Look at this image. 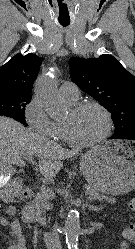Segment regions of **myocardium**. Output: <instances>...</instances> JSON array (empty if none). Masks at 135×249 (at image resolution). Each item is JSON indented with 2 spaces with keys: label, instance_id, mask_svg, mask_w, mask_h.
<instances>
[{
  "label": "myocardium",
  "instance_id": "obj_1",
  "mask_svg": "<svg viewBox=\"0 0 135 249\" xmlns=\"http://www.w3.org/2000/svg\"><path fill=\"white\" fill-rule=\"evenodd\" d=\"M88 107H95L103 113L105 120H106V130L100 137H98L96 139L88 140V141L87 140H80L73 135L70 127L64 123V128H65V132H66L68 141L76 146H81V147L95 146V145L101 143L102 141H104L110 135L111 130H112L111 113L109 112V110L105 106H103L99 102H96V101L79 102V103L74 104L71 110L74 113H79Z\"/></svg>",
  "mask_w": 135,
  "mask_h": 249
}]
</instances>
